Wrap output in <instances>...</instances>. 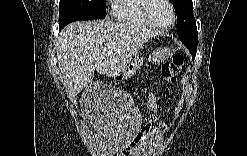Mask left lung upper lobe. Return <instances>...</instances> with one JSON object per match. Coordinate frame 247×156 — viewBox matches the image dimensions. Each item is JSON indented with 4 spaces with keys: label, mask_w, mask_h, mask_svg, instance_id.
I'll use <instances>...</instances> for the list:
<instances>
[{
    "label": "left lung upper lobe",
    "mask_w": 247,
    "mask_h": 156,
    "mask_svg": "<svg viewBox=\"0 0 247 156\" xmlns=\"http://www.w3.org/2000/svg\"><path fill=\"white\" fill-rule=\"evenodd\" d=\"M177 14V33L188 49H197V27L192 0H171Z\"/></svg>",
    "instance_id": "5c2ea615"
}]
</instances>
